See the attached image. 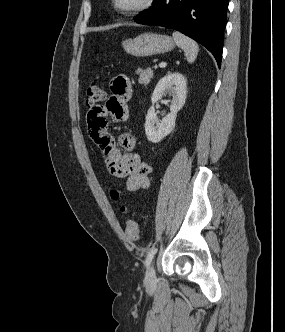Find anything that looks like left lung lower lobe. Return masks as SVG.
I'll return each instance as SVG.
<instances>
[{"instance_id": "obj_1", "label": "left lung lower lobe", "mask_w": 285, "mask_h": 332, "mask_svg": "<svg viewBox=\"0 0 285 332\" xmlns=\"http://www.w3.org/2000/svg\"><path fill=\"white\" fill-rule=\"evenodd\" d=\"M227 7L228 0H161L155 9L135 21L189 36L206 47L220 67Z\"/></svg>"}]
</instances>
